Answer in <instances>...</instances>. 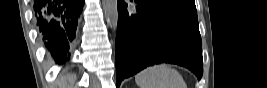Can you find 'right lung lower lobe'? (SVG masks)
<instances>
[{
	"instance_id": "98d812e1",
	"label": "right lung lower lobe",
	"mask_w": 267,
	"mask_h": 88,
	"mask_svg": "<svg viewBox=\"0 0 267 88\" xmlns=\"http://www.w3.org/2000/svg\"><path fill=\"white\" fill-rule=\"evenodd\" d=\"M84 0H34L37 29L57 63H63L75 38Z\"/></svg>"
}]
</instances>
